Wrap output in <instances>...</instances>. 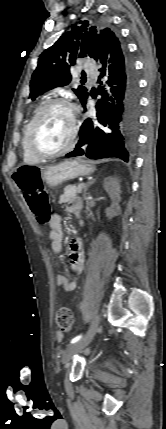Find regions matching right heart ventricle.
<instances>
[{
  "instance_id": "1",
  "label": "right heart ventricle",
  "mask_w": 166,
  "mask_h": 429,
  "mask_svg": "<svg viewBox=\"0 0 166 429\" xmlns=\"http://www.w3.org/2000/svg\"><path fill=\"white\" fill-rule=\"evenodd\" d=\"M41 106H42V103H38L35 106V108L33 109V112L31 114L30 118L28 119V121L25 124L24 129H23V137H22L23 160H24V162L29 163V164H35V163H39L41 161L40 159H38L35 156H33L29 152V150H28V148L26 146V137H27L29 126H30V124H31L34 116L36 115V113L38 112V110L40 109Z\"/></svg>"
}]
</instances>
